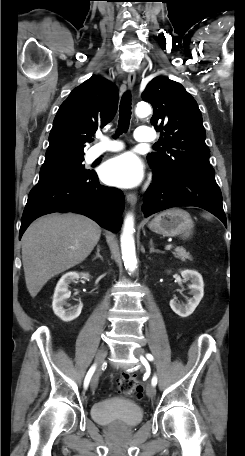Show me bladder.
Listing matches in <instances>:
<instances>
[{
    "label": "bladder",
    "mask_w": 245,
    "mask_h": 456,
    "mask_svg": "<svg viewBox=\"0 0 245 456\" xmlns=\"http://www.w3.org/2000/svg\"><path fill=\"white\" fill-rule=\"evenodd\" d=\"M91 417L101 425L128 428L142 421L143 410L133 401L113 398L95 403L91 407Z\"/></svg>",
    "instance_id": "bladder-1"
}]
</instances>
